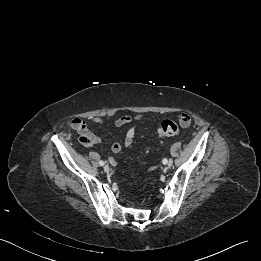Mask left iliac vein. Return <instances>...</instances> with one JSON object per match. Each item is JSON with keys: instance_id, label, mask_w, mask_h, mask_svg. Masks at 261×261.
<instances>
[{"instance_id": "obj_1", "label": "left iliac vein", "mask_w": 261, "mask_h": 261, "mask_svg": "<svg viewBox=\"0 0 261 261\" xmlns=\"http://www.w3.org/2000/svg\"><path fill=\"white\" fill-rule=\"evenodd\" d=\"M169 167H171L172 166V162H170V161H167V163H166Z\"/></svg>"}]
</instances>
